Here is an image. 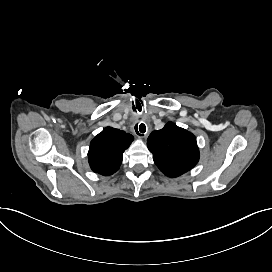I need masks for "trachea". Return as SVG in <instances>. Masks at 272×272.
<instances>
[{
  "mask_svg": "<svg viewBox=\"0 0 272 272\" xmlns=\"http://www.w3.org/2000/svg\"><path fill=\"white\" fill-rule=\"evenodd\" d=\"M137 126H138V124L136 125V132L138 133V134H142V133H144L145 131H146V126L143 124V123H141L140 125H139V131L137 130Z\"/></svg>",
  "mask_w": 272,
  "mask_h": 272,
  "instance_id": "1",
  "label": "trachea"
}]
</instances>
